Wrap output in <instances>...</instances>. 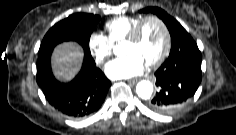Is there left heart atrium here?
Segmentation results:
<instances>
[{
    "label": "left heart atrium",
    "instance_id": "left-heart-atrium-1",
    "mask_svg": "<svg viewBox=\"0 0 236 135\" xmlns=\"http://www.w3.org/2000/svg\"><path fill=\"white\" fill-rule=\"evenodd\" d=\"M145 65L139 55L131 53L110 61L105 67V73L111 79H127L141 74Z\"/></svg>",
    "mask_w": 236,
    "mask_h": 135
}]
</instances>
